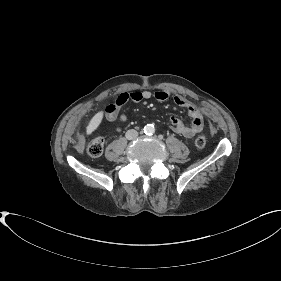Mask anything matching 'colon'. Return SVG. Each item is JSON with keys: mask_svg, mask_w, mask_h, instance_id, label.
Masks as SVG:
<instances>
[{"mask_svg": "<svg viewBox=\"0 0 281 281\" xmlns=\"http://www.w3.org/2000/svg\"><path fill=\"white\" fill-rule=\"evenodd\" d=\"M206 137L203 135H199L195 139V145L197 148H203L206 145ZM104 149V141L101 138H97L89 142L87 145V153L91 157H99L103 153Z\"/></svg>", "mask_w": 281, "mask_h": 281, "instance_id": "5ec220e1", "label": "colon"}]
</instances>
